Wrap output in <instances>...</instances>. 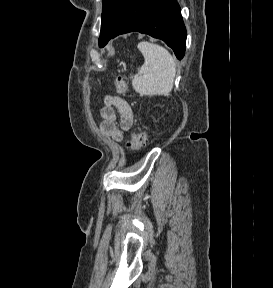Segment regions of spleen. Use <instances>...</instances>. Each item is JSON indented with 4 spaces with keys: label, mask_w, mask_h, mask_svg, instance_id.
<instances>
[{
    "label": "spleen",
    "mask_w": 273,
    "mask_h": 288,
    "mask_svg": "<svg viewBox=\"0 0 273 288\" xmlns=\"http://www.w3.org/2000/svg\"><path fill=\"white\" fill-rule=\"evenodd\" d=\"M137 47L145 61L138 73L130 77L134 90L140 95L170 93L176 73L172 55L164 47L147 41H141Z\"/></svg>",
    "instance_id": "1"
}]
</instances>
